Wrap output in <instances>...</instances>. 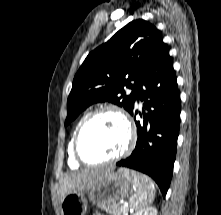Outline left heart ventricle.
<instances>
[{
    "label": "left heart ventricle",
    "instance_id": "obj_1",
    "mask_svg": "<svg viewBox=\"0 0 221 215\" xmlns=\"http://www.w3.org/2000/svg\"><path fill=\"white\" fill-rule=\"evenodd\" d=\"M126 139V129L120 118L113 113H104L86 127L80 149L88 160H104L120 152Z\"/></svg>",
    "mask_w": 221,
    "mask_h": 215
}]
</instances>
